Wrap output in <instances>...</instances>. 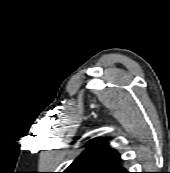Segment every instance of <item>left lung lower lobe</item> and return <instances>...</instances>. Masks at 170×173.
<instances>
[{
	"instance_id": "0a47b994",
	"label": "left lung lower lobe",
	"mask_w": 170,
	"mask_h": 173,
	"mask_svg": "<svg viewBox=\"0 0 170 173\" xmlns=\"http://www.w3.org/2000/svg\"><path fill=\"white\" fill-rule=\"evenodd\" d=\"M123 173H128L127 171H126V169L123 171Z\"/></svg>"
}]
</instances>
